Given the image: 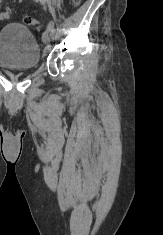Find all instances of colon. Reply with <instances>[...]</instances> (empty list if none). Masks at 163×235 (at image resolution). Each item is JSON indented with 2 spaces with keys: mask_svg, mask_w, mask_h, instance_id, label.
<instances>
[{
  "mask_svg": "<svg viewBox=\"0 0 163 235\" xmlns=\"http://www.w3.org/2000/svg\"><path fill=\"white\" fill-rule=\"evenodd\" d=\"M72 3L74 6H78L81 3V0H72ZM10 15H11V11L9 9H6L5 11L0 13V19L1 20L8 19ZM23 22L29 26L36 24V20L30 16H25L23 19Z\"/></svg>",
  "mask_w": 163,
  "mask_h": 235,
  "instance_id": "1",
  "label": "colon"
}]
</instances>
